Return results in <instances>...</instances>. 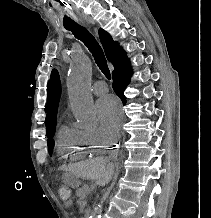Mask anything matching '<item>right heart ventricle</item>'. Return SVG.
<instances>
[{"mask_svg": "<svg viewBox=\"0 0 211 218\" xmlns=\"http://www.w3.org/2000/svg\"><path fill=\"white\" fill-rule=\"evenodd\" d=\"M58 142L56 149L59 157H63V162H76L77 158L103 153L107 146L90 143L80 129L68 126H61L59 129Z\"/></svg>", "mask_w": 211, "mask_h": 218, "instance_id": "1", "label": "right heart ventricle"}]
</instances>
